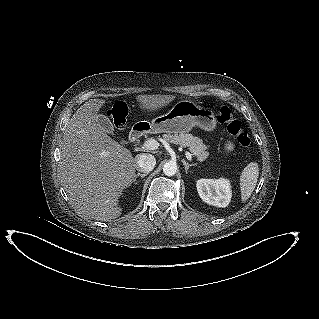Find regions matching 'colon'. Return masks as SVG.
Segmentation results:
<instances>
[{"mask_svg": "<svg viewBox=\"0 0 319 319\" xmlns=\"http://www.w3.org/2000/svg\"><path fill=\"white\" fill-rule=\"evenodd\" d=\"M109 116L114 127L118 130L122 129L126 123L127 106L123 101L114 103L109 111ZM218 121L225 124L228 132L233 135L239 145L248 147L250 145V138L248 133L243 128V122L236 117L228 107H222L218 113Z\"/></svg>", "mask_w": 319, "mask_h": 319, "instance_id": "5ec220e1", "label": "colon"}]
</instances>
